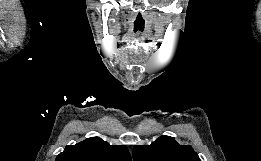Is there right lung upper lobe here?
I'll return each mask as SVG.
<instances>
[{
  "label": "right lung upper lobe",
  "mask_w": 261,
  "mask_h": 161,
  "mask_svg": "<svg viewBox=\"0 0 261 161\" xmlns=\"http://www.w3.org/2000/svg\"><path fill=\"white\" fill-rule=\"evenodd\" d=\"M55 161H131L125 145H110L98 137L66 146Z\"/></svg>",
  "instance_id": "1"
}]
</instances>
